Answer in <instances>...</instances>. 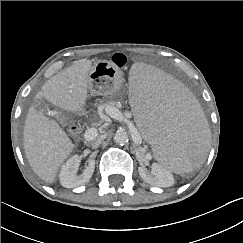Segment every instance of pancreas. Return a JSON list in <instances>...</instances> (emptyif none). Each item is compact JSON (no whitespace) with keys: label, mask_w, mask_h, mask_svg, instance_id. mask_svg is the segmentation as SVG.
I'll return each instance as SVG.
<instances>
[{"label":"pancreas","mask_w":243,"mask_h":243,"mask_svg":"<svg viewBox=\"0 0 243 243\" xmlns=\"http://www.w3.org/2000/svg\"><path fill=\"white\" fill-rule=\"evenodd\" d=\"M115 105H116V103L114 101H109V102H106L104 104V107H105V110H106L107 114H108L110 108H116V109H118L117 107H115Z\"/></svg>","instance_id":"pancreas-1"}]
</instances>
